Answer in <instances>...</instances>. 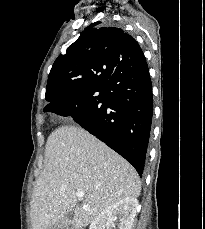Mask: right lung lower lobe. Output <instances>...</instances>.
<instances>
[{
    "mask_svg": "<svg viewBox=\"0 0 205 229\" xmlns=\"http://www.w3.org/2000/svg\"><path fill=\"white\" fill-rule=\"evenodd\" d=\"M44 111L69 116L130 162L142 176L153 97L143 52L122 60L102 83L48 104Z\"/></svg>",
    "mask_w": 205,
    "mask_h": 229,
    "instance_id": "obj_1",
    "label": "right lung lower lobe"
}]
</instances>
